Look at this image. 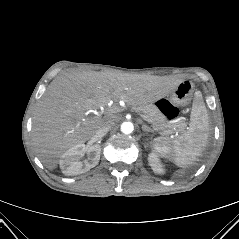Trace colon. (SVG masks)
<instances>
[{
    "instance_id": "5ec220e1",
    "label": "colon",
    "mask_w": 239,
    "mask_h": 239,
    "mask_svg": "<svg viewBox=\"0 0 239 239\" xmlns=\"http://www.w3.org/2000/svg\"><path fill=\"white\" fill-rule=\"evenodd\" d=\"M159 110L170 120L175 119L178 115V109L168 100L162 99L157 103Z\"/></svg>"
}]
</instances>
